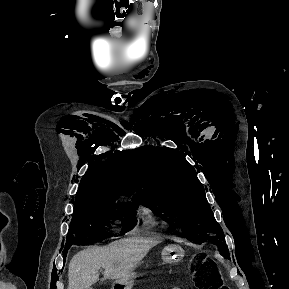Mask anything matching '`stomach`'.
I'll return each instance as SVG.
<instances>
[{"instance_id": "1", "label": "stomach", "mask_w": 289, "mask_h": 289, "mask_svg": "<svg viewBox=\"0 0 289 289\" xmlns=\"http://www.w3.org/2000/svg\"><path fill=\"white\" fill-rule=\"evenodd\" d=\"M183 256L184 250L176 244L166 246L161 252L162 260L166 263H178ZM135 277L136 274L132 271L127 276L117 279L112 289H131Z\"/></svg>"}]
</instances>
